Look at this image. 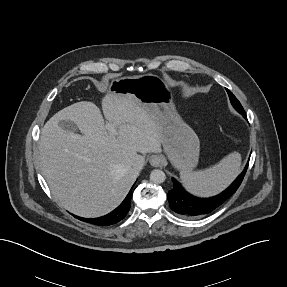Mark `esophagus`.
Listing matches in <instances>:
<instances>
[{
  "label": "esophagus",
  "mask_w": 287,
  "mask_h": 287,
  "mask_svg": "<svg viewBox=\"0 0 287 287\" xmlns=\"http://www.w3.org/2000/svg\"><path fill=\"white\" fill-rule=\"evenodd\" d=\"M162 157L159 155H152L149 159V162L154 167H160L162 165Z\"/></svg>",
  "instance_id": "34e87169"
}]
</instances>
